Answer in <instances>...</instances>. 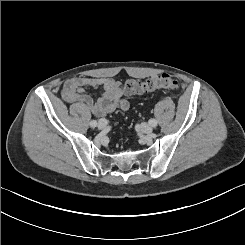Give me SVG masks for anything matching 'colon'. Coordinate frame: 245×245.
I'll return each mask as SVG.
<instances>
[{
  "mask_svg": "<svg viewBox=\"0 0 245 245\" xmlns=\"http://www.w3.org/2000/svg\"><path fill=\"white\" fill-rule=\"evenodd\" d=\"M177 80L169 74H160L146 80L129 79L124 84L126 94L135 95L152 92L159 89L174 90Z\"/></svg>",
  "mask_w": 245,
  "mask_h": 245,
  "instance_id": "colon-1",
  "label": "colon"
}]
</instances>
